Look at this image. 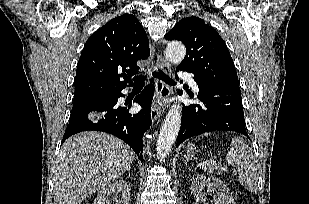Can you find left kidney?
Returning a JSON list of instances; mask_svg holds the SVG:
<instances>
[{"label": "left kidney", "instance_id": "1", "mask_svg": "<svg viewBox=\"0 0 309 204\" xmlns=\"http://www.w3.org/2000/svg\"><path fill=\"white\" fill-rule=\"evenodd\" d=\"M204 188L216 193L215 204H236L228 187L221 180L195 174L191 180V191L196 201L206 200L205 194L202 192Z\"/></svg>", "mask_w": 309, "mask_h": 204}]
</instances>
